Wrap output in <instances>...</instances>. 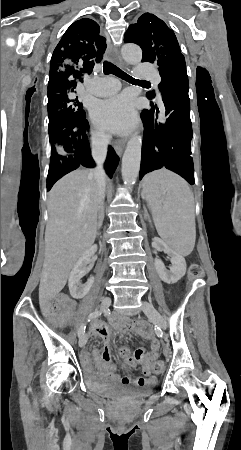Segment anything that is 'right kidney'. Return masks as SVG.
<instances>
[{
  "mask_svg": "<svg viewBox=\"0 0 241 450\" xmlns=\"http://www.w3.org/2000/svg\"><path fill=\"white\" fill-rule=\"evenodd\" d=\"M95 252H97V246H91V248L86 250V252L82 254L81 258L77 260L74 268H72L70 272L68 286L70 294L72 298H75V300H81V298H84V296L88 294L94 282V278H88L86 284H81L80 280L83 276H86V274L90 272L93 266L92 256H94Z\"/></svg>",
  "mask_w": 241,
  "mask_h": 450,
  "instance_id": "ca27d5eb",
  "label": "right kidney"
}]
</instances>
